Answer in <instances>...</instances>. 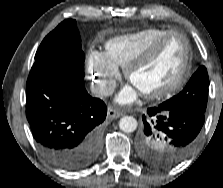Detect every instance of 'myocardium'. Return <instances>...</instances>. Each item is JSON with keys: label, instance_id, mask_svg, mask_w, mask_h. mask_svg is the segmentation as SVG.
<instances>
[{"label": "myocardium", "instance_id": "1", "mask_svg": "<svg viewBox=\"0 0 223 188\" xmlns=\"http://www.w3.org/2000/svg\"><path fill=\"white\" fill-rule=\"evenodd\" d=\"M171 36H179L184 42V59L181 68L177 76L168 84L163 87L151 91V92H141V94L149 100H158L169 95H172L178 91L183 85L191 65V45L188 38L180 31L170 30L156 38L148 46H146L137 57L130 62L124 70L126 79L131 82V76L133 72L142 66L158 49L159 47Z\"/></svg>", "mask_w": 223, "mask_h": 188}]
</instances>
